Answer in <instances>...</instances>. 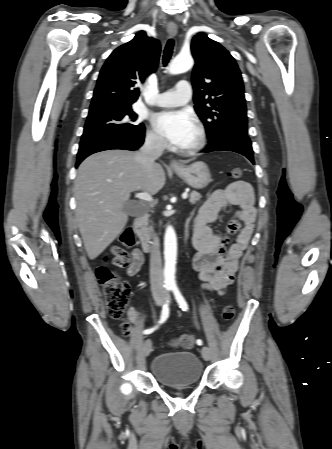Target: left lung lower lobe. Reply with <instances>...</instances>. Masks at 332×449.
<instances>
[{
    "mask_svg": "<svg viewBox=\"0 0 332 449\" xmlns=\"http://www.w3.org/2000/svg\"><path fill=\"white\" fill-rule=\"evenodd\" d=\"M212 151H233L246 156L252 163H254L253 150L251 140L247 133L231 132L215 141L210 142L204 152Z\"/></svg>",
    "mask_w": 332,
    "mask_h": 449,
    "instance_id": "0a47b994",
    "label": "left lung lower lobe"
}]
</instances>
